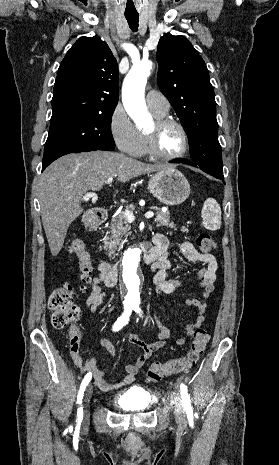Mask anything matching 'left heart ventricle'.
Returning <instances> with one entry per match:
<instances>
[{
  "instance_id": "1",
  "label": "left heart ventricle",
  "mask_w": 279,
  "mask_h": 465,
  "mask_svg": "<svg viewBox=\"0 0 279 465\" xmlns=\"http://www.w3.org/2000/svg\"><path fill=\"white\" fill-rule=\"evenodd\" d=\"M153 127L150 126L149 129ZM157 145L159 150L165 154H174L182 147V136L176 126L169 125L163 128L158 135Z\"/></svg>"
}]
</instances>
